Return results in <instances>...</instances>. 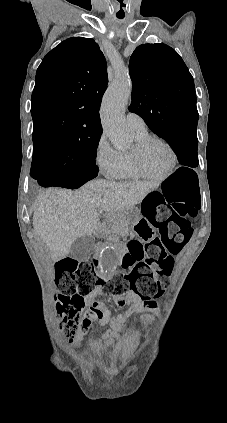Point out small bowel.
Returning a JSON list of instances; mask_svg holds the SVG:
<instances>
[{
    "label": "small bowel",
    "instance_id": "obj_1",
    "mask_svg": "<svg viewBox=\"0 0 227 423\" xmlns=\"http://www.w3.org/2000/svg\"><path fill=\"white\" fill-rule=\"evenodd\" d=\"M139 222L147 223L145 218L141 219ZM103 294L104 292L102 291L101 287L97 286L86 297V303L88 304L89 309L82 320V324L84 327H89L95 320H97L101 325L109 324L111 330H108L105 334L106 339L109 341L116 340L118 338L119 332L127 330V328L124 326V323L133 313L147 307L156 308L158 306L157 302L154 300L143 301L136 294L129 293L123 297H113L116 305L120 307H129L124 313L112 315L109 309L100 301V298Z\"/></svg>",
    "mask_w": 227,
    "mask_h": 423
}]
</instances>
